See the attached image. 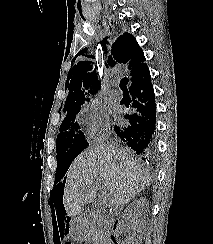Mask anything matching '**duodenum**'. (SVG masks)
Instances as JSON below:
<instances>
[{"instance_id": "obj_1", "label": "duodenum", "mask_w": 213, "mask_h": 244, "mask_svg": "<svg viewBox=\"0 0 213 244\" xmlns=\"http://www.w3.org/2000/svg\"><path fill=\"white\" fill-rule=\"evenodd\" d=\"M117 232H118V225L116 222H113L111 224V234L108 235L107 238V244H117L116 242Z\"/></svg>"}]
</instances>
